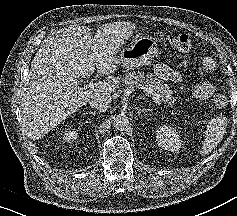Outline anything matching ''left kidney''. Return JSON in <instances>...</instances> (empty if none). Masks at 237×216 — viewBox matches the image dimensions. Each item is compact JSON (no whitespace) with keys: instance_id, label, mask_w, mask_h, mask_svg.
I'll use <instances>...</instances> for the list:
<instances>
[{"instance_id":"obj_1","label":"left kidney","mask_w":237,"mask_h":216,"mask_svg":"<svg viewBox=\"0 0 237 216\" xmlns=\"http://www.w3.org/2000/svg\"><path fill=\"white\" fill-rule=\"evenodd\" d=\"M156 141L159 147L164 150L176 152L182 146L178 132L173 127L163 125L156 130Z\"/></svg>"}]
</instances>
